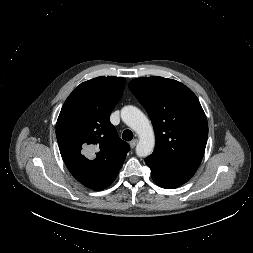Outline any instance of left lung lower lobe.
Here are the masks:
<instances>
[{"label": "left lung lower lobe", "mask_w": 253, "mask_h": 253, "mask_svg": "<svg viewBox=\"0 0 253 253\" xmlns=\"http://www.w3.org/2000/svg\"><path fill=\"white\" fill-rule=\"evenodd\" d=\"M145 163L151 169L153 181L162 188L174 189L183 185L190 179L188 176L168 171L149 160L145 159Z\"/></svg>", "instance_id": "1"}]
</instances>
